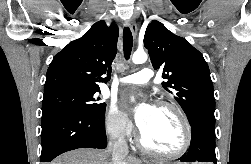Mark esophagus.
Returning <instances> with one entry per match:
<instances>
[{"instance_id":"1","label":"esophagus","mask_w":251,"mask_h":164,"mask_svg":"<svg viewBox=\"0 0 251 164\" xmlns=\"http://www.w3.org/2000/svg\"><path fill=\"white\" fill-rule=\"evenodd\" d=\"M128 26H129L131 32L133 33V35L136 36V33H137V25H136L135 21L129 20V21H128Z\"/></svg>"}]
</instances>
